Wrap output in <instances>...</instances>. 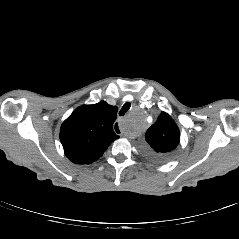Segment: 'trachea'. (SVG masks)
I'll return each instance as SVG.
<instances>
[{"label":"trachea","mask_w":239,"mask_h":239,"mask_svg":"<svg viewBox=\"0 0 239 239\" xmlns=\"http://www.w3.org/2000/svg\"><path fill=\"white\" fill-rule=\"evenodd\" d=\"M130 106H131L130 103H125L122 109L120 110L119 115L123 116L130 109Z\"/></svg>","instance_id":"obj_1"}]
</instances>
